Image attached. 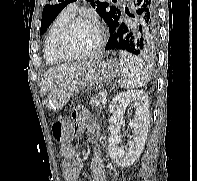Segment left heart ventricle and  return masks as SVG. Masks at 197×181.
I'll return each instance as SVG.
<instances>
[{"instance_id":"1","label":"left heart ventricle","mask_w":197,"mask_h":181,"mask_svg":"<svg viewBox=\"0 0 197 181\" xmlns=\"http://www.w3.org/2000/svg\"><path fill=\"white\" fill-rule=\"evenodd\" d=\"M98 39V31L91 23H80L66 35L63 47L67 54L75 55L92 50Z\"/></svg>"}]
</instances>
